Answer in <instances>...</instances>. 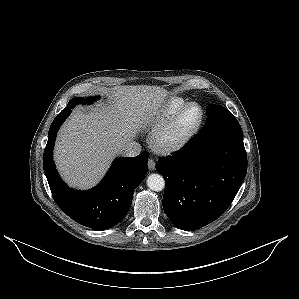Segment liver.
Masks as SVG:
<instances>
[{
	"label": "liver",
	"mask_w": 299,
	"mask_h": 299,
	"mask_svg": "<svg viewBox=\"0 0 299 299\" xmlns=\"http://www.w3.org/2000/svg\"><path fill=\"white\" fill-rule=\"evenodd\" d=\"M114 106L73 111L61 127L54 158L62 178L73 187L97 184L115 155L158 114L167 91L159 86H119Z\"/></svg>",
	"instance_id": "liver-1"
}]
</instances>
